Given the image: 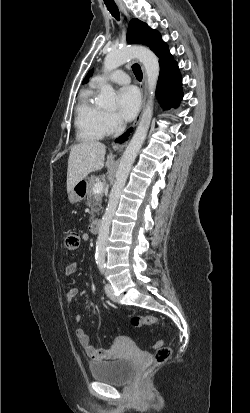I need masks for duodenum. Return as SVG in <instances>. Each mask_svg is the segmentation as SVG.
Here are the masks:
<instances>
[{"mask_svg": "<svg viewBox=\"0 0 250 413\" xmlns=\"http://www.w3.org/2000/svg\"><path fill=\"white\" fill-rule=\"evenodd\" d=\"M101 220L100 219H95L94 221H92V223L90 224V231L93 234H97L100 230L101 227Z\"/></svg>", "mask_w": 250, "mask_h": 413, "instance_id": "duodenum-1", "label": "duodenum"}]
</instances>
